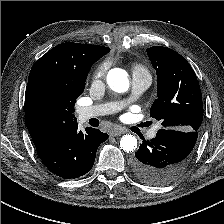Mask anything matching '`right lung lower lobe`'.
Returning <instances> with one entry per match:
<instances>
[{"mask_svg": "<svg viewBox=\"0 0 224 224\" xmlns=\"http://www.w3.org/2000/svg\"><path fill=\"white\" fill-rule=\"evenodd\" d=\"M108 135L87 127L78 130L77 122L63 124L34 143L36 151L49 171L59 177L78 178L93 167L99 145Z\"/></svg>", "mask_w": 224, "mask_h": 224, "instance_id": "obj_1", "label": "right lung lower lobe"}]
</instances>
